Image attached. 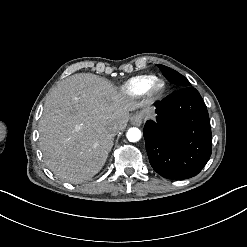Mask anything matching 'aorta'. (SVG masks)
Masks as SVG:
<instances>
[{
  "label": "aorta",
  "instance_id": "1",
  "mask_svg": "<svg viewBox=\"0 0 247 247\" xmlns=\"http://www.w3.org/2000/svg\"><path fill=\"white\" fill-rule=\"evenodd\" d=\"M127 139L130 142H137L140 140L142 134L138 128H130L126 134Z\"/></svg>",
  "mask_w": 247,
  "mask_h": 247
}]
</instances>
